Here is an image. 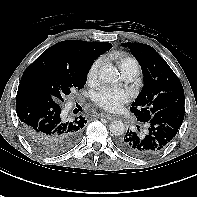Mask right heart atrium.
Returning <instances> with one entry per match:
<instances>
[{
  "mask_svg": "<svg viewBox=\"0 0 197 197\" xmlns=\"http://www.w3.org/2000/svg\"><path fill=\"white\" fill-rule=\"evenodd\" d=\"M100 64H101V60L97 59L89 67V70L87 72V80L89 83L96 82L97 77H98V70H99Z\"/></svg>",
  "mask_w": 197,
  "mask_h": 197,
  "instance_id": "obj_1",
  "label": "right heart atrium"
}]
</instances>
